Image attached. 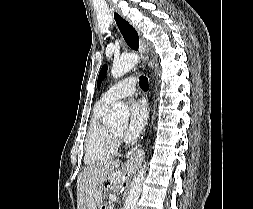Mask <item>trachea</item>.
Segmentation results:
<instances>
[{
  "instance_id": "1",
  "label": "trachea",
  "mask_w": 253,
  "mask_h": 209,
  "mask_svg": "<svg viewBox=\"0 0 253 209\" xmlns=\"http://www.w3.org/2000/svg\"><path fill=\"white\" fill-rule=\"evenodd\" d=\"M121 32H125V27L121 26L120 27ZM139 85L142 89L147 90L149 88V84H148V79L145 76H140V81H139Z\"/></svg>"
}]
</instances>
